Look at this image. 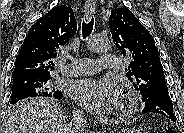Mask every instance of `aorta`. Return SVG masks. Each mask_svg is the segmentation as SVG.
I'll list each match as a JSON object with an SVG mask.
<instances>
[{"mask_svg":"<svg viewBox=\"0 0 184 133\" xmlns=\"http://www.w3.org/2000/svg\"><path fill=\"white\" fill-rule=\"evenodd\" d=\"M87 48L92 52H105L110 49V41L107 38L93 35L86 42Z\"/></svg>","mask_w":184,"mask_h":133,"instance_id":"aorta-1","label":"aorta"}]
</instances>
